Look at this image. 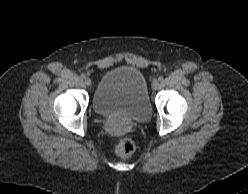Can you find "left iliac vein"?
Masks as SVG:
<instances>
[{"instance_id": "obj_1", "label": "left iliac vein", "mask_w": 248, "mask_h": 194, "mask_svg": "<svg viewBox=\"0 0 248 194\" xmlns=\"http://www.w3.org/2000/svg\"><path fill=\"white\" fill-rule=\"evenodd\" d=\"M152 88H153L154 90H156V89L159 88V82H158L157 80H154V81L152 82Z\"/></svg>"}]
</instances>
